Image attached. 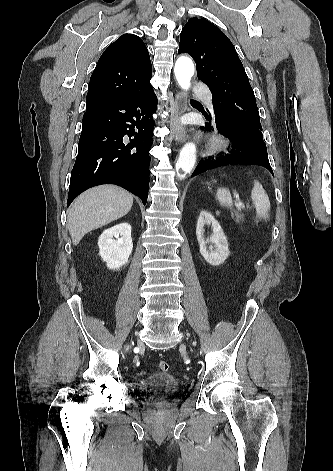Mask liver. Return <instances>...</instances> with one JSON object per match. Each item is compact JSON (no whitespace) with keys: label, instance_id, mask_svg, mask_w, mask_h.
Segmentation results:
<instances>
[{"label":"liver","instance_id":"liver-1","mask_svg":"<svg viewBox=\"0 0 333 471\" xmlns=\"http://www.w3.org/2000/svg\"><path fill=\"white\" fill-rule=\"evenodd\" d=\"M132 204L133 196L115 185H102L82 193L68 213V230L73 244H79L88 232L125 216Z\"/></svg>","mask_w":333,"mask_h":471}]
</instances>
